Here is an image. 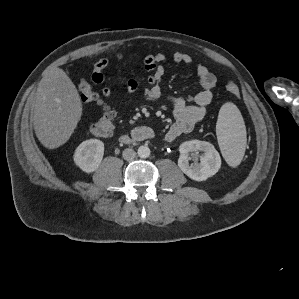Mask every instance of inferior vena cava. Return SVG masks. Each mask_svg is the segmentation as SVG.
Instances as JSON below:
<instances>
[{
    "label": "inferior vena cava",
    "mask_w": 299,
    "mask_h": 299,
    "mask_svg": "<svg viewBox=\"0 0 299 299\" xmlns=\"http://www.w3.org/2000/svg\"><path fill=\"white\" fill-rule=\"evenodd\" d=\"M122 155L125 160L131 161L136 157V152L131 148H127L123 151Z\"/></svg>",
    "instance_id": "obj_1"
}]
</instances>
